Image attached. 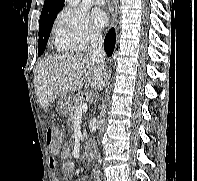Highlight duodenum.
<instances>
[{"label": "duodenum", "mask_w": 197, "mask_h": 181, "mask_svg": "<svg viewBox=\"0 0 197 181\" xmlns=\"http://www.w3.org/2000/svg\"><path fill=\"white\" fill-rule=\"evenodd\" d=\"M92 154H93L92 148H91V147H86V148H85V155H86L87 157H91Z\"/></svg>", "instance_id": "duodenum-1"}]
</instances>
